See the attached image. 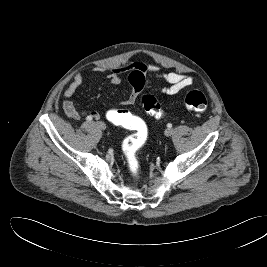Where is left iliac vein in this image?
<instances>
[{"label": "left iliac vein", "mask_w": 267, "mask_h": 267, "mask_svg": "<svg viewBox=\"0 0 267 267\" xmlns=\"http://www.w3.org/2000/svg\"><path fill=\"white\" fill-rule=\"evenodd\" d=\"M164 134L166 136H171L173 134V129H171V128L166 129L165 132H164Z\"/></svg>", "instance_id": "4c4485c4"}]
</instances>
